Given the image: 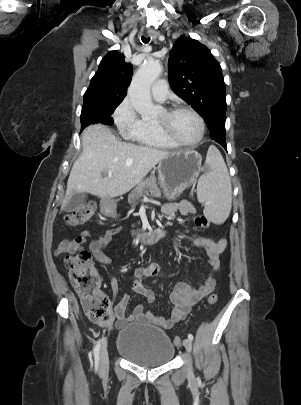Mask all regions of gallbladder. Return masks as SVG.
Returning <instances> with one entry per match:
<instances>
[{
  "mask_svg": "<svg viewBox=\"0 0 301 405\" xmlns=\"http://www.w3.org/2000/svg\"><path fill=\"white\" fill-rule=\"evenodd\" d=\"M85 200H86L85 193H74L63 210L65 212H73L79 207H81L85 203Z\"/></svg>",
  "mask_w": 301,
  "mask_h": 405,
  "instance_id": "1",
  "label": "gallbladder"
}]
</instances>
